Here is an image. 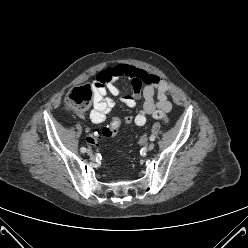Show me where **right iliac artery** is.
Returning a JSON list of instances; mask_svg holds the SVG:
<instances>
[{"label": "right iliac artery", "mask_w": 248, "mask_h": 248, "mask_svg": "<svg viewBox=\"0 0 248 248\" xmlns=\"http://www.w3.org/2000/svg\"><path fill=\"white\" fill-rule=\"evenodd\" d=\"M80 151H81L82 153H85V152H86V148H85V147H81V148H80Z\"/></svg>", "instance_id": "1"}]
</instances>
